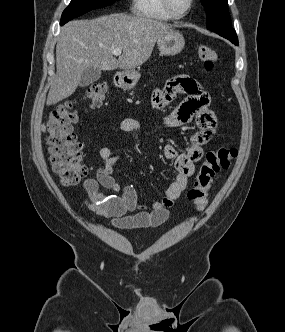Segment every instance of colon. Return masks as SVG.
<instances>
[{
    "label": "colon",
    "mask_w": 285,
    "mask_h": 332,
    "mask_svg": "<svg viewBox=\"0 0 285 332\" xmlns=\"http://www.w3.org/2000/svg\"><path fill=\"white\" fill-rule=\"evenodd\" d=\"M197 55L206 71H211L218 62L217 52L207 45H200ZM108 89L106 81L95 82L87 89L84 99L89 102L91 108L98 107L102 104ZM77 117L75 103L66 102L50 113L44 125L45 143L53 171L66 186L79 183L87 173L82 161L84 144L77 138L73 128ZM237 155V149L228 146H220L207 152L194 184L187 192L188 199L197 210L201 211L207 206L214 177L220 171L229 169Z\"/></svg>",
    "instance_id": "colon-1"
}]
</instances>
